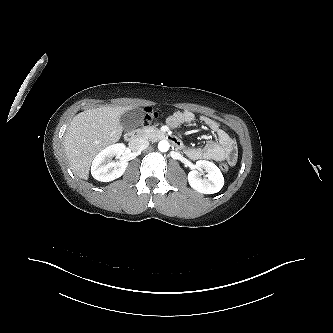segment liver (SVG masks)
Here are the masks:
<instances>
[{
    "label": "liver",
    "instance_id": "liver-1",
    "mask_svg": "<svg viewBox=\"0 0 333 333\" xmlns=\"http://www.w3.org/2000/svg\"><path fill=\"white\" fill-rule=\"evenodd\" d=\"M127 107H99L76 115L65 135V149L73 173L87 180L93 159L109 144L117 142L123 132L121 115Z\"/></svg>",
    "mask_w": 333,
    "mask_h": 333
}]
</instances>
